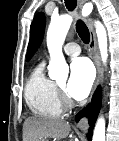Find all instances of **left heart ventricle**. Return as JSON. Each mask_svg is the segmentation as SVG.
I'll return each instance as SVG.
<instances>
[{
    "instance_id": "obj_1",
    "label": "left heart ventricle",
    "mask_w": 119,
    "mask_h": 141,
    "mask_svg": "<svg viewBox=\"0 0 119 141\" xmlns=\"http://www.w3.org/2000/svg\"><path fill=\"white\" fill-rule=\"evenodd\" d=\"M65 84H66V82H65V81H63V82H60V83H59V85H60L62 88H64V87H65Z\"/></svg>"
}]
</instances>
